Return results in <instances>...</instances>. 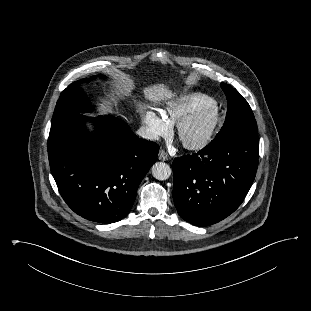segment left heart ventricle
Returning a JSON list of instances; mask_svg holds the SVG:
<instances>
[{"label":"left heart ventricle","mask_w":311,"mask_h":311,"mask_svg":"<svg viewBox=\"0 0 311 311\" xmlns=\"http://www.w3.org/2000/svg\"><path fill=\"white\" fill-rule=\"evenodd\" d=\"M208 125V118L202 117L190 125L183 134V140L193 142L201 139L205 134Z\"/></svg>","instance_id":"left-heart-ventricle-1"}]
</instances>
